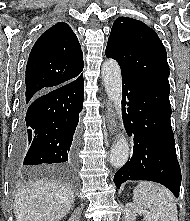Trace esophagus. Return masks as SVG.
<instances>
[{"label":"esophagus","instance_id":"obj_1","mask_svg":"<svg viewBox=\"0 0 190 221\" xmlns=\"http://www.w3.org/2000/svg\"><path fill=\"white\" fill-rule=\"evenodd\" d=\"M106 118L109 131L113 134L117 128L116 116L111 103L107 102Z\"/></svg>","mask_w":190,"mask_h":221}]
</instances>
